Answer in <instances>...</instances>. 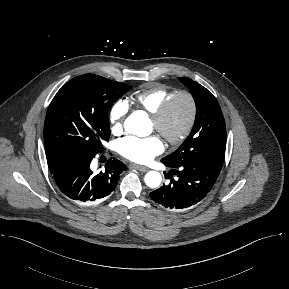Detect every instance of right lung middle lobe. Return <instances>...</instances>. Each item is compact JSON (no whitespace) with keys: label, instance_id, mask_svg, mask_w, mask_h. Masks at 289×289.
Segmentation results:
<instances>
[{"label":"right lung middle lobe","instance_id":"dd1d6c3e","mask_svg":"<svg viewBox=\"0 0 289 289\" xmlns=\"http://www.w3.org/2000/svg\"><path fill=\"white\" fill-rule=\"evenodd\" d=\"M130 85L85 74L67 82L55 95L44 124L48 162L66 154H97L110 136L107 112Z\"/></svg>","mask_w":289,"mask_h":289}]
</instances>
